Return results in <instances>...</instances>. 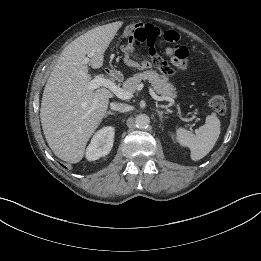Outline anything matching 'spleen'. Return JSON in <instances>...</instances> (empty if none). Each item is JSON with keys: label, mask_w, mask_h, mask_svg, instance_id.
Masks as SVG:
<instances>
[{"label": "spleen", "mask_w": 261, "mask_h": 261, "mask_svg": "<svg viewBox=\"0 0 261 261\" xmlns=\"http://www.w3.org/2000/svg\"><path fill=\"white\" fill-rule=\"evenodd\" d=\"M221 127L216 114L206 117V122L201 126L196 134L185 128L176 129V139L180 145L188 147L191 151V159L198 161L205 157L214 147Z\"/></svg>", "instance_id": "1"}]
</instances>
